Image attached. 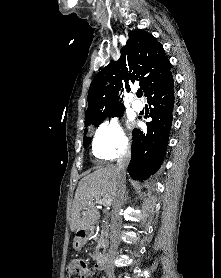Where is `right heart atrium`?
Masks as SVG:
<instances>
[{"mask_svg": "<svg viewBox=\"0 0 221 278\" xmlns=\"http://www.w3.org/2000/svg\"><path fill=\"white\" fill-rule=\"evenodd\" d=\"M130 142L117 118L103 121L95 130L92 153L100 160H113L126 153Z\"/></svg>", "mask_w": 221, "mask_h": 278, "instance_id": "right-heart-atrium-1", "label": "right heart atrium"}]
</instances>
